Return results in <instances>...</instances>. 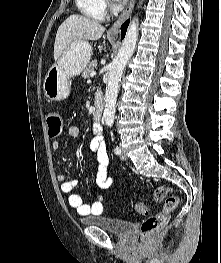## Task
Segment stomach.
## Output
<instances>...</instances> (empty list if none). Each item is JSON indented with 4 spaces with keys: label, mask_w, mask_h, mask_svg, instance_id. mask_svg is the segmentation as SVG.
<instances>
[{
    "label": "stomach",
    "mask_w": 221,
    "mask_h": 263,
    "mask_svg": "<svg viewBox=\"0 0 221 263\" xmlns=\"http://www.w3.org/2000/svg\"><path fill=\"white\" fill-rule=\"evenodd\" d=\"M91 55L92 47L88 42H73L48 70L43 83L45 96L51 101L66 99L70 93V78L87 67Z\"/></svg>",
    "instance_id": "stomach-1"
}]
</instances>
